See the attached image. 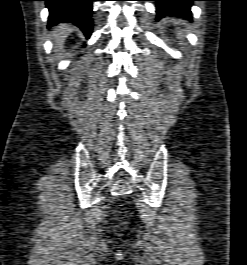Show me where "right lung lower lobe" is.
Listing matches in <instances>:
<instances>
[{"label": "right lung lower lobe", "instance_id": "right-lung-lower-lobe-1", "mask_svg": "<svg viewBox=\"0 0 247 265\" xmlns=\"http://www.w3.org/2000/svg\"><path fill=\"white\" fill-rule=\"evenodd\" d=\"M49 8L48 27L61 22L73 23L86 36L92 32V1L95 0H43Z\"/></svg>", "mask_w": 247, "mask_h": 265}]
</instances>
